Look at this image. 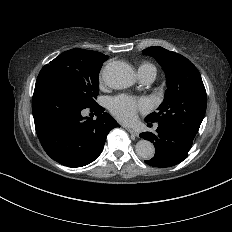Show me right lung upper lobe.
Masks as SVG:
<instances>
[{"instance_id": "obj_1", "label": "right lung upper lobe", "mask_w": 232, "mask_h": 232, "mask_svg": "<svg viewBox=\"0 0 232 232\" xmlns=\"http://www.w3.org/2000/svg\"><path fill=\"white\" fill-rule=\"evenodd\" d=\"M75 53H83V54H87V55H93V56H99V57H104V58H108L107 56H105L104 54L100 53V52H96V51H87L84 49H80V48H75V49H71L68 51H65L62 53V55H71V54H75Z\"/></svg>"}]
</instances>
